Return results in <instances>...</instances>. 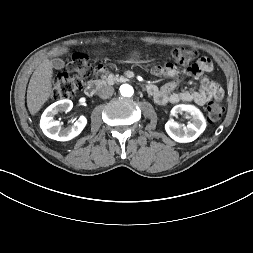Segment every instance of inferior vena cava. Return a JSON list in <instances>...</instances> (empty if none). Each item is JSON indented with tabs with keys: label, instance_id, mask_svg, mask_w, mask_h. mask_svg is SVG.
Wrapping results in <instances>:
<instances>
[{
	"label": "inferior vena cava",
	"instance_id": "1",
	"mask_svg": "<svg viewBox=\"0 0 253 253\" xmlns=\"http://www.w3.org/2000/svg\"><path fill=\"white\" fill-rule=\"evenodd\" d=\"M114 93V88L112 86H103L99 92L98 95L102 99L110 98Z\"/></svg>",
	"mask_w": 253,
	"mask_h": 253
}]
</instances>
